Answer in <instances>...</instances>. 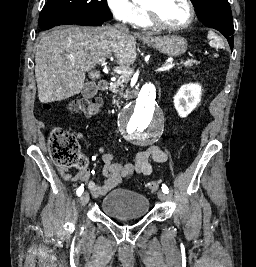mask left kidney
I'll return each mask as SVG.
<instances>
[{
    "label": "left kidney",
    "mask_w": 256,
    "mask_h": 267,
    "mask_svg": "<svg viewBox=\"0 0 256 267\" xmlns=\"http://www.w3.org/2000/svg\"><path fill=\"white\" fill-rule=\"evenodd\" d=\"M201 86L199 84H184L174 96L175 110L180 118H186L201 102Z\"/></svg>",
    "instance_id": "1"
}]
</instances>
